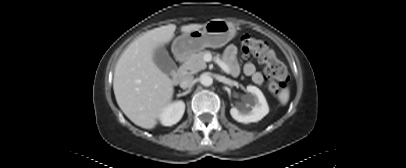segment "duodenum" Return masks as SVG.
<instances>
[{
    "instance_id": "duodenum-1",
    "label": "duodenum",
    "mask_w": 406,
    "mask_h": 168,
    "mask_svg": "<svg viewBox=\"0 0 406 168\" xmlns=\"http://www.w3.org/2000/svg\"><path fill=\"white\" fill-rule=\"evenodd\" d=\"M182 62H183V58L181 56H179L178 57V63L180 64V66H181ZM183 73H184L183 69L181 67H179L177 69V71L172 75V81L174 83H178L180 81Z\"/></svg>"
}]
</instances>
